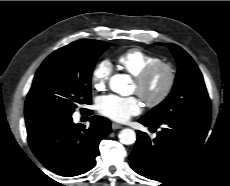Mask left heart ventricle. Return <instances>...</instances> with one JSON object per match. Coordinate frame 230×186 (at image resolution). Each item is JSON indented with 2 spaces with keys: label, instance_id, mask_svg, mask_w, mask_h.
Segmentation results:
<instances>
[{
  "label": "left heart ventricle",
  "instance_id": "left-heart-ventricle-1",
  "mask_svg": "<svg viewBox=\"0 0 230 186\" xmlns=\"http://www.w3.org/2000/svg\"><path fill=\"white\" fill-rule=\"evenodd\" d=\"M166 82V74L164 72L157 73L145 87V94L148 97H156L163 89ZM136 90V85H135Z\"/></svg>",
  "mask_w": 230,
  "mask_h": 186
}]
</instances>
